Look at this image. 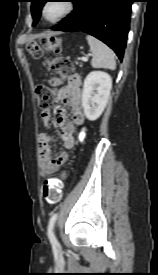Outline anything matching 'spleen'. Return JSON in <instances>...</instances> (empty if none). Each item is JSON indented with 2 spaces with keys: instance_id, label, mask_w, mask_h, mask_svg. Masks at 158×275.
Listing matches in <instances>:
<instances>
[{
  "instance_id": "spleen-1",
  "label": "spleen",
  "mask_w": 158,
  "mask_h": 275,
  "mask_svg": "<svg viewBox=\"0 0 158 275\" xmlns=\"http://www.w3.org/2000/svg\"><path fill=\"white\" fill-rule=\"evenodd\" d=\"M87 41L93 56L91 61L92 67L114 70L116 68L114 52L93 36L87 35Z\"/></svg>"
}]
</instances>
